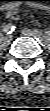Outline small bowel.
Returning <instances> with one entry per match:
<instances>
[{
    "instance_id": "small-bowel-1",
    "label": "small bowel",
    "mask_w": 50,
    "mask_h": 111,
    "mask_svg": "<svg viewBox=\"0 0 50 111\" xmlns=\"http://www.w3.org/2000/svg\"><path fill=\"white\" fill-rule=\"evenodd\" d=\"M16 14V9L15 8H9L8 10H7V16L8 17H12V16H14Z\"/></svg>"
}]
</instances>
